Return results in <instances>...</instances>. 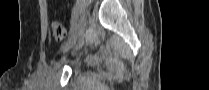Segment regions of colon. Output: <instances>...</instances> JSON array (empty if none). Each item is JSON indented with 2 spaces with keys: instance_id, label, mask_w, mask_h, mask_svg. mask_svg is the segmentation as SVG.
<instances>
[{
  "instance_id": "obj_1",
  "label": "colon",
  "mask_w": 209,
  "mask_h": 90,
  "mask_svg": "<svg viewBox=\"0 0 209 90\" xmlns=\"http://www.w3.org/2000/svg\"><path fill=\"white\" fill-rule=\"evenodd\" d=\"M52 35L57 41H63L66 37L67 31L65 26L60 21H53L51 23Z\"/></svg>"
}]
</instances>
